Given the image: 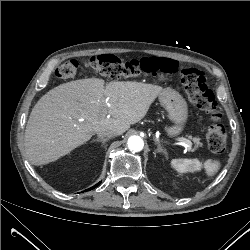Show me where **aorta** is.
<instances>
[{
    "label": "aorta",
    "instance_id": "1",
    "mask_svg": "<svg viewBox=\"0 0 250 250\" xmlns=\"http://www.w3.org/2000/svg\"><path fill=\"white\" fill-rule=\"evenodd\" d=\"M144 147V142L139 136H131L128 139V148L133 152L141 151Z\"/></svg>",
    "mask_w": 250,
    "mask_h": 250
}]
</instances>
